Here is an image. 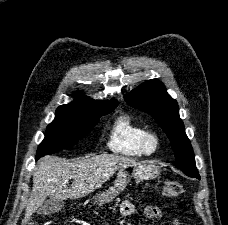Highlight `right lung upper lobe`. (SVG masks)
<instances>
[{"label": "right lung upper lobe", "instance_id": "1", "mask_svg": "<svg viewBox=\"0 0 228 225\" xmlns=\"http://www.w3.org/2000/svg\"><path fill=\"white\" fill-rule=\"evenodd\" d=\"M70 104L73 105H84V106H91V107H110L117 105L115 100L111 101H100V100H93L83 95V93L78 92L76 94V98Z\"/></svg>", "mask_w": 228, "mask_h": 225}]
</instances>
